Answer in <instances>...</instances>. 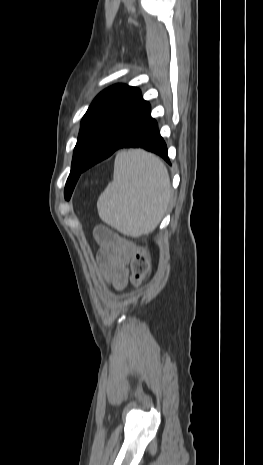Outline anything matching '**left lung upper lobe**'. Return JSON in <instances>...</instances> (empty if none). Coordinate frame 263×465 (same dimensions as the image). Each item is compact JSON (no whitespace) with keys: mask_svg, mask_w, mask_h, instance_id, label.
Returning <instances> with one entry per match:
<instances>
[{"mask_svg":"<svg viewBox=\"0 0 263 465\" xmlns=\"http://www.w3.org/2000/svg\"><path fill=\"white\" fill-rule=\"evenodd\" d=\"M139 94L140 90L136 87L116 84L102 91L91 103L81 122L71 172L64 190L65 199H70L76 182L83 172L82 168L102 133Z\"/></svg>","mask_w":263,"mask_h":465,"instance_id":"left-lung-upper-lobe-1","label":"left lung upper lobe"}]
</instances>
